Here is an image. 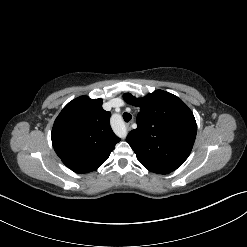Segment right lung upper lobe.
I'll return each instance as SVG.
<instances>
[{"label": "right lung upper lobe", "mask_w": 247, "mask_h": 247, "mask_svg": "<svg viewBox=\"0 0 247 247\" xmlns=\"http://www.w3.org/2000/svg\"><path fill=\"white\" fill-rule=\"evenodd\" d=\"M110 112L102 99L81 96L69 102L56 118L52 144L63 163L76 173L96 170L120 139L113 133Z\"/></svg>", "instance_id": "1"}]
</instances>
